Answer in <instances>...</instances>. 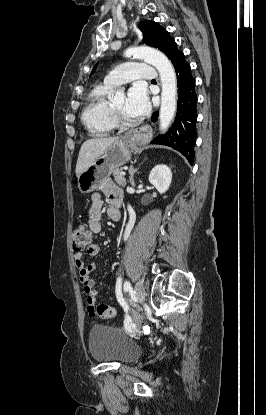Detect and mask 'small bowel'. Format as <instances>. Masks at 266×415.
<instances>
[{"label": "small bowel", "instance_id": "obj_1", "mask_svg": "<svg viewBox=\"0 0 266 415\" xmlns=\"http://www.w3.org/2000/svg\"><path fill=\"white\" fill-rule=\"evenodd\" d=\"M101 192L93 193L91 196V207L88 212V226L92 232H99L101 229L103 196H105L109 207L107 214L112 220H119L121 217L120 207L123 202V193L119 187L112 182L106 181L100 187ZM97 244H89L86 252L90 256H96L99 253ZM74 264L79 271L80 281L83 284L86 294V303L88 313L95 307L98 292L95 288V281L91 278L92 272L95 271V263L86 264L84 261V253L76 251L74 253Z\"/></svg>", "mask_w": 266, "mask_h": 415}]
</instances>
